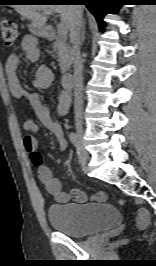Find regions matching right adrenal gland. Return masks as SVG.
I'll return each instance as SVG.
<instances>
[{
  "instance_id": "2a0ac1e0",
  "label": "right adrenal gland",
  "mask_w": 156,
  "mask_h": 266,
  "mask_svg": "<svg viewBox=\"0 0 156 266\" xmlns=\"http://www.w3.org/2000/svg\"><path fill=\"white\" fill-rule=\"evenodd\" d=\"M85 24H86V21L84 20L82 22V30H81V43L84 42V39H85Z\"/></svg>"
}]
</instances>
